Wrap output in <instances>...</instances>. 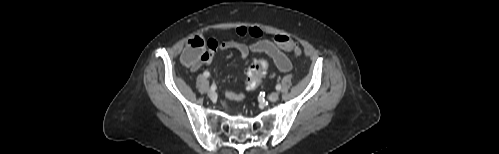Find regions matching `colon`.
<instances>
[{"label":"colon","instance_id":"obj_1","mask_svg":"<svg viewBox=\"0 0 499 154\" xmlns=\"http://www.w3.org/2000/svg\"><path fill=\"white\" fill-rule=\"evenodd\" d=\"M274 43L281 49L293 52L296 55L301 54V49L296 42L289 36L278 34L274 37ZM211 57L209 40L202 35L192 37L186 44L182 55V60L188 67H197L200 63L207 61ZM268 68L266 60H256L249 68L247 87L250 90L256 89Z\"/></svg>","mask_w":499,"mask_h":154}]
</instances>
